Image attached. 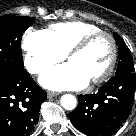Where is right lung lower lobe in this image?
Segmentation results:
<instances>
[{
	"label": "right lung lower lobe",
	"mask_w": 136,
	"mask_h": 136,
	"mask_svg": "<svg viewBox=\"0 0 136 136\" xmlns=\"http://www.w3.org/2000/svg\"><path fill=\"white\" fill-rule=\"evenodd\" d=\"M46 97L25 70L0 74V136H28L38 123Z\"/></svg>",
	"instance_id": "1"
}]
</instances>
